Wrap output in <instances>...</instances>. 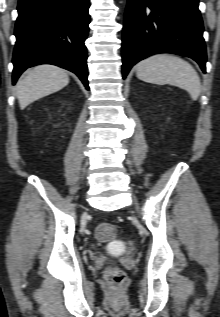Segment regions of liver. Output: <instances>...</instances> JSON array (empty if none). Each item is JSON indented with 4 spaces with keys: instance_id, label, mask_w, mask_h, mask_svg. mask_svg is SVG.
<instances>
[{
    "instance_id": "obj_1",
    "label": "liver",
    "mask_w": 220,
    "mask_h": 317,
    "mask_svg": "<svg viewBox=\"0 0 220 317\" xmlns=\"http://www.w3.org/2000/svg\"><path fill=\"white\" fill-rule=\"evenodd\" d=\"M69 83L65 70L53 65H39L17 82L16 94L23 110L32 102L57 92Z\"/></svg>"
}]
</instances>
